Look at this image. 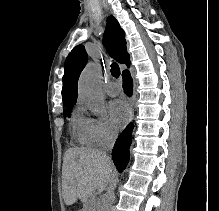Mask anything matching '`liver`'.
<instances>
[{"label":"liver","instance_id":"1","mask_svg":"<svg viewBox=\"0 0 219 211\" xmlns=\"http://www.w3.org/2000/svg\"><path fill=\"white\" fill-rule=\"evenodd\" d=\"M111 157L87 147H69L65 151L62 169L63 197L66 205L77 199L88 203L95 189H105L112 179Z\"/></svg>","mask_w":219,"mask_h":211}]
</instances>
